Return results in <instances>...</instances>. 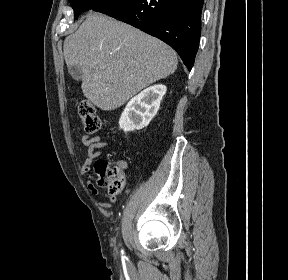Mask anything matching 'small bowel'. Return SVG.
<instances>
[{"mask_svg":"<svg viewBox=\"0 0 288 280\" xmlns=\"http://www.w3.org/2000/svg\"><path fill=\"white\" fill-rule=\"evenodd\" d=\"M82 144L87 148V158L82 165L81 172L82 174L86 175L88 178V188L94 196H99L100 192L96 185L91 181V165L94 159L100 157L102 155L101 150L107 146V143L101 140L100 136H92L90 137L88 134L83 135L82 137ZM123 169L127 168L125 162H121ZM115 195H105L104 201L99 202V205L103 208H109L111 203L115 201Z\"/></svg>","mask_w":288,"mask_h":280,"instance_id":"small-bowel-1","label":"small bowel"}]
</instances>
